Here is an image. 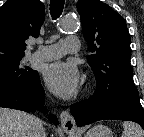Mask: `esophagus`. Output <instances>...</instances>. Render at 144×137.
<instances>
[{
	"label": "esophagus",
	"instance_id": "obj_1",
	"mask_svg": "<svg viewBox=\"0 0 144 137\" xmlns=\"http://www.w3.org/2000/svg\"><path fill=\"white\" fill-rule=\"evenodd\" d=\"M60 122L62 129L67 133L73 132L76 127L75 120L68 110L62 111L60 114Z\"/></svg>",
	"mask_w": 144,
	"mask_h": 137
}]
</instances>
